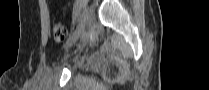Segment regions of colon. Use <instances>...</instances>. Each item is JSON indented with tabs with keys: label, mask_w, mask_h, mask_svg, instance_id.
Instances as JSON below:
<instances>
[{
	"label": "colon",
	"mask_w": 209,
	"mask_h": 90,
	"mask_svg": "<svg viewBox=\"0 0 209 90\" xmlns=\"http://www.w3.org/2000/svg\"><path fill=\"white\" fill-rule=\"evenodd\" d=\"M52 33L57 42H63L67 37V29L61 22L52 24Z\"/></svg>",
	"instance_id": "obj_1"
}]
</instances>
